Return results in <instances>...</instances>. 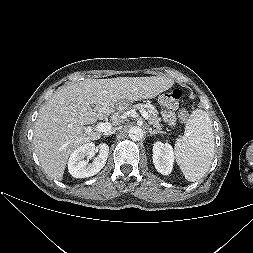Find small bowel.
Here are the masks:
<instances>
[{
	"label": "small bowel",
	"mask_w": 253,
	"mask_h": 253,
	"mask_svg": "<svg viewBox=\"0 0 253 253\" xmlns=\"http://www.w3.org/2000/svg\"><path fill=\"white\" fill-rule=\"evenodd\" d=\"M163 119L166 123H168L170 126H174L176 123V115L171 110H165L163 112Z\"/></svg>",
	"instance_id": "obj_1"
}]
</instances>
